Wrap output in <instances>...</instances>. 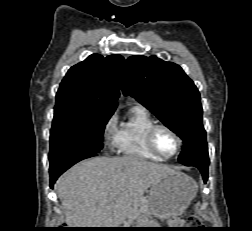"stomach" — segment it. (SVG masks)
Instances as JSON below:
<instances>
[{
  "label": "stomach",
  "instance_id": "1",
  "mask_svg": "<svg viewBox=\"0 0 252 231\" xmlns=\"http://www.w3.org/2000/svg\"><path fill=\"white\" fill-rule=\"evenodd\" d=\"M197 184L189 176L175 172L167 175L154 184L148 195L150 212L157 218L167 220L170 225L180 216L196 196ZM142 225L141 219L137 226ZM175 228V227H171Z\"/></svg>",
  "mask_w": 252,
  "mask_h": 231
}]
</instances>
